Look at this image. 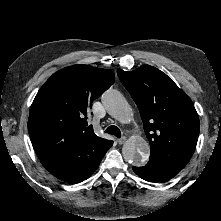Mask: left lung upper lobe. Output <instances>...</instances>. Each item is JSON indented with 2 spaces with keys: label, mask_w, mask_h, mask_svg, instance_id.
Here are the masks:
<instances>
[{
  "label": "left lung upper lobe",
  "mask_w": 221,
  "mask_h": 221,
  "mask_svg": "<svg viewBox=\"0 0 221 221\" xmlns=\"http://www.w3.org/2000/svg\"><path fill=\"white\" fill-rule=\"evenodd\" d=\"M117 73L139 109L151 146L149 161L181 171L195 151L200 129L191 99L153 66Z\"/></svg>",
  "instance_id": "5c2ea615"
}]
</instances>
